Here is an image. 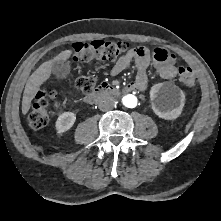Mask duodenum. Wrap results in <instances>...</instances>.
Segmentation results:
<instances>
[{
    "label": "duodenum",
    "instance_id": "obj_1",
    "mask_svg": "<svg viewBox=\"0 0 221 221\" xmlns=\"http://www.w3.org/2000/svg\"><path fill=\"white\" fill-rule=\"evenodd\" d=\"M132 90L133 88L131 86H127L123 90V93H128ZM121 93L122 92L114 86L107 83H103L96 87L90 94H88L85 97V101L87 103H94L106 96H119Z\"/></svg>",
    "mask_w": 221,
    "mask_h": 221
}]
</instances>
